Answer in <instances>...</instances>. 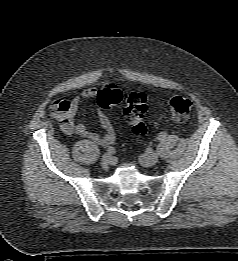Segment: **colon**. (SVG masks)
Wrapping results in <instances>:
<instances>
[{"mask_svg": "<svg viewBox=\"0 0 238 261\" xmlns=\"http://www.w3.org/2000/svg\"><path fill=\"white\" fill-rule=\"evenodd\" d=\"M97 102L103 109L120 105L132 132L138 136H144L147 133L144 121L147 111V96L143 92H132L124 96L117 86L109 85L99 91ZM166 105L171 115L179 121H184L189 117L192 107L191 100L180 95L168 97ZM65 107L64 100H58L54 103L55 112L62 111Z\"/></svg>", "mask_w": 238, "mask_h": 261, "instance_id": "obj_1", "label": "colon"}]
</instances>
